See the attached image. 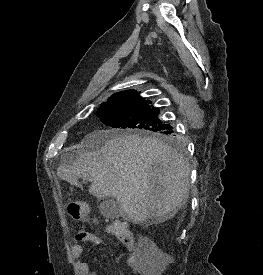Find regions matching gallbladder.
I'll use <instances>...</instances> for the list:
<instances>
[{"instance_id":"gallbladder-1","label":"gallbladder","mask_w":263,"mask_h":275,"mask_svg":"<svg viewBox=\"0 0 263 275\" xmlns=\"http://www.w3.org/2000/svg\"><path fill=\"white\" fill-rule=\"evenodd\" d=\"M101 214L109 219H115L123 216V209L118 201L105 199L99 204Z\"/></svg>"}]
</instances>
